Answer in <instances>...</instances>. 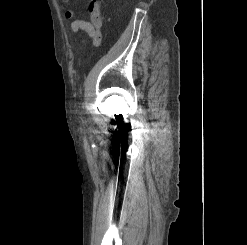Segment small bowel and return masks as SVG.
Wrapping results in <instances>:
<instances>
[{"label": "small bowel", "mask_w": 247, "mask_h": 245, "mask_svg": "<svg viewBox=\"0 0 247 245\" xmlns=\"http://www.w3.org/2000/svg\"><path fill=\"white\" fill-rule=\"evenodd\" d=\"M60 2L64 8L66 19L71 20V31L75 34L79 33L80 31H83L87 34V37L81 42L79 50L83 48L84 44L88 40H92L95 46H99L102 40V20L97 7H91V21H86L84 19L75 17V13L69 8V0H60Z\"/></svg>", "instance_id": "c3829d8e"}]
</instances>
